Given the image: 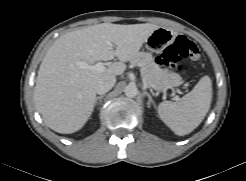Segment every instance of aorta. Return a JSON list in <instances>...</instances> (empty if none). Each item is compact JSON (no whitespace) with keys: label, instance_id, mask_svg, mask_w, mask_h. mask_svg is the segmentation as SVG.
Instances as JSON below:
<instances>
[{"label":"aorta","instance_id":"aorta-1","mask_svg":"<svg viewBox=\"0 0 246 181\" xmlns=\"http://www.w3.org/2000/svg\"><path fill=\"white\" fill-rule=\"evenodd\" d=\"M124 93L127 97L134 98L138 93V89L135 85L129 84L124 88Z\"/></svg>","mask_w":246,"mask_h":181}]
</instances>
